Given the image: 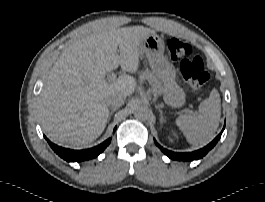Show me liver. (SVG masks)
Wrapping results in <instances>:
<instances>
[{"mask_svg": "<svg viewBox=\"0 0 265 202\" xmlns=\"http://www.w3.org/2000/svg\"><path fill=\"white\" fill-rule=\"evenodd\" d=\"M154 33L143 26L115 28L96 21L64 49L38 98L40 122L52 142L80 147L102 134L109 115L106 97L113 92L130 96L137 86L132 76L109 83L106 74L119 65L137 72L140 44Z\"/></svg>", "mask_w": 265, "mask_h": 202, "instance_id": "6515ba94", "label": "liver"}]
</instances>
